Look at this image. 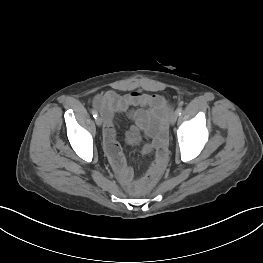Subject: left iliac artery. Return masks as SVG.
<instances>
[{
	"instance_id": "44dca946",
	"label": "left iliac artery",
	"mask_w": 263,
	"mask_h": 263,
	"mask_svg": "<svg viewBox=\"0 0 263 263\" xmlns=\"http://www.w3.org/2000/svg\"><path fill=\"white\" fill-rule=\"evenodd\" d=\"M176 111H177L178 115H181V113H182V108H181V107H178Z\"/></svg>"
}]
</instances>
